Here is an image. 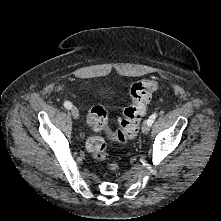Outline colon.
I'll use <instances>...</instances> for the list:
<instances>
[{"instance_id": "colon-1", "label": "colon", "mask_w": 221, "mask_h": 221, "mask_svg": "<svg viewBox=\"0 0 221 221\" xmlns=\"http://www.w3.org/2000/svg\"><path fill=\"white\" fill-rule=\"evenodd\" d=\"M159 88L156 79H144L135 83L131 87V104L124 111L119 126L112 130L109 126V118L106 110L102 106L92 107L87 114V124L93 132L104 131L113 142L125 144L133 139L139 130L142 117L146 113L147 105L151 95ZM86 147L91 156L98 161L107 159L106 141L99 136L92 135L86 141ZM110 172H116L119 165L115 161L107 164Z\"/></svg>"}]
</instances>
